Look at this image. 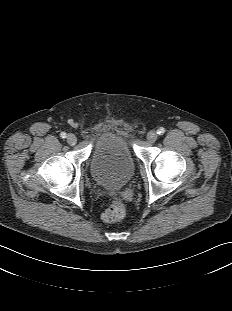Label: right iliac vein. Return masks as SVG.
Listing matches in <instances>:
<instances>
[{
    "instance_id": "right-iliac-vein-1",
    "label": "right iliac vein",
    "mask_w": 232,
    "mask_h": 311,
    "mask_svg": "<svg viewBox=\"0 0 232 311\" xmlns=\"http://www.w3.org/2000/svg\"><path fill=\"white\" fill-rule=\"evenodd\" d=\"M67 142H68L69 145H75L76 142H77L76 136L74 134H69L67 136Z\"/></svg>"
}]
</instances>
